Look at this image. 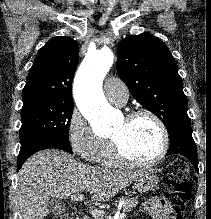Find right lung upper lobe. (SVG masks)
<instances>
[{
	"label": "right lung upper lobe",
	"mask_w": 211,
	"mask_h": 219,
	"mask_svg": "<svg viewBox=\"0 0 211 219\" xmlns=\"http://www.w3.org/2000/svg\"><path fill=\"white\" fill-rule=\"evenodd\" d=\"M79 59L76 41L67 36L50 39L39 51L23 89V102L51 99L73 103L72 79Z\"/></svg>",
	"instance_id": "right-lung-upper-lobe-1"
}]
</instances>
